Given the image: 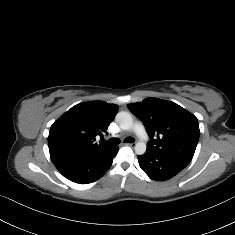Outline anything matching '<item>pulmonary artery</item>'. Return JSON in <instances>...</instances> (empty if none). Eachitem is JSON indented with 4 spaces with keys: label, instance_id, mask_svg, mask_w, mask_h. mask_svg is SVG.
I'll use <instances>...</instances> for the list:
<instances>
[{
    "label": "pulmonary artery",
    "instance_id": "e3ab8cb5",
    "mask_svg": "<svg viewBox=\"0 0 235 235\" xmlns=\"http://www.w3.org/2000/svg\"><path fill=\"white\" fill-rule=\"evenodd\" d=\"M134 132L139 134V140L141 142H148L150 140V133L144 131V127L140 123L135 125Z\"/></svg>",
    "mask_w": 235,
    "mask_h": 235
}]
</instances>
